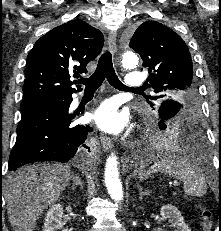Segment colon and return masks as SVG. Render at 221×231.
I'll list each match as a JSON object with an SVG mask.
<instances>
[{
    "label": "colon",
    "mask_w": 221,
    "mask_h": 231,
    "mask_svg": "<svg viewBox=\"0 0 221 231\" xmlns=\"http://www.w3.org/2000/svg\"><path fill=\"white\" fill-rule=\"evenodd\" d=\"M199 208L203 219L204 231H209L212 225V213L204 206H199Z\"/></svg>",
    "instance_id": "5ec220e1"
}]
</instances>
